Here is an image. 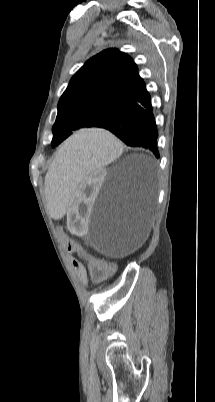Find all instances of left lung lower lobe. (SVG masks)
<instances>
[{
	"mask_svg": "<svg viewBox=\"0 0 215 402\" xmlns=\"http://www.w3.org/2000/svg\"><path fill=\"white\" fill-rule=\"evenodd\" d=\"M96 127L111 131L128 146L149 149L159 158L158 131L150 95L145 86L134 99Z\"/></svg>",
	"mask_w": 215,
	"mask_h": 402,
	"instance_id": "1",
	"label": "left lung lower lobe"
}]
</instances>
